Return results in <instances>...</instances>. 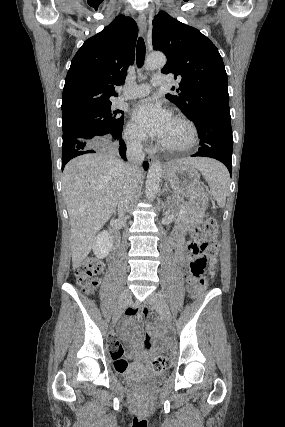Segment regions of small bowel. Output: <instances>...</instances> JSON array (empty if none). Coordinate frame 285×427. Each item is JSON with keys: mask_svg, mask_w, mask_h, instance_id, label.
<instances>
[{"mask_svg": "<svg viewBox=\"0 0 285 427\" xmlns=\"http://www.w3.org/2000/svg\"><path fill=\"white\" fill-rule=\"evenodd\" d=\"M186 230L185 227L179 226L177 227L172 236H173V244L176 249V259L179 263L184 264L186 261L185 256V247H184V240H183V233ZM123 323L126 326H134L139 332L137 328V319L135 317V314H126L123 318ZM127 342H131L133 345V349L129 353H125L123 351L122 344L117 339H110L109 340V346L111 349V357L113 361V366L115 369H121L119 367V364L126 360H131L134 363H142L144 360H146L150 353L144 350L138 340H131L130 337H126L124 339Z\"/></svg>", "mask_w": 285, "mask_h": 427, "instance_id": "1", "label": "small bowel"}]
</instances>
